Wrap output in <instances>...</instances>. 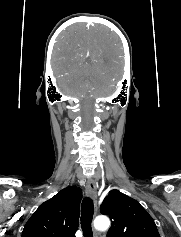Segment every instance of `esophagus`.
<instances>
[{
  "mask_svg": "<svg viewBox=\"0 0 181 237\" xmlns=\"http://www.w3.org/2000/svg\"><path fill=\"white\" fill-rule=\"evenodd\" d=\"M86 194L96 203L97 186L93 180H89L86 185Z\"/></svg>",
  "mask_w": 181,
  "mask_h": 237,
  "instance_id": "1",
  "label": "esophagus"
}]
</instances>
